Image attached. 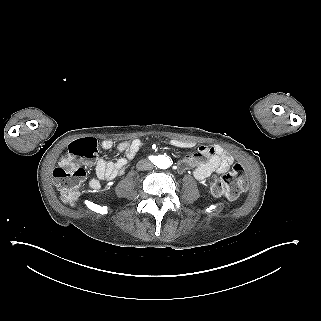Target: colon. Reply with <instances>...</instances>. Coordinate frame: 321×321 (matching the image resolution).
Returning a JSON list of instances; mask_svg holds the SVG:
<instances>
[{
	"instance_id": "colon-1",
	"label": "colon",
	"mask_w": 321,
	"mask_h": 321,
	"mask_svg": "<svg viewBox=\"0 0 321 321\" xmlns=\"http://www.w3.org/2000/svg\"><path fill=\"white\" fill-rule=\"evenodd\" d=\"M98 156L97 143L92 138L71 143L60 157L53 171V180L61 191L63 199L74 204L81 193L86 180L85 169L78 164L80 160H93ZM247 186L245 170L241 164H234L223 176H216L211 182V191L229 199H236Z\"/></svg>"
}]
</instances>
